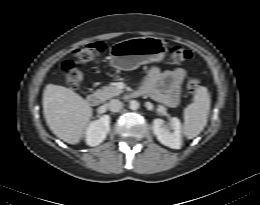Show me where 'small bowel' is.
I'll return each instance as SVG.
<instances>
[{"label":"small bowel","instance_id":"small-bowel-1","mask_svg":"<svg viewBox=\"0 0 260 205\" xmlns=\"http://www.w3.org/2000/svg\"><path fill=\"white\" fill-rule=\"evenodd\" d=\"M185 77L186 70L183 67L162 71L154 66L149 69L141 91L166 106L175 107Z\"/></svg>","mask_w":260,"mask_h":205}]
</instances>
